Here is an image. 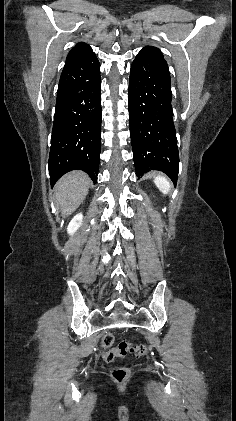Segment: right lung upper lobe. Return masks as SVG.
<instances>
[{"label": "right lung upper lobe", "mask_w": 236, "mask_h": 421, "mask_svg": "<svg viewBox=\"0 0 236 421\" xmlns=\"http://www.w3.org/2000/svg\"><path fill=\"white\" fill-rule=\"evenodd\" d=\"M95 55L91 47L83 42L78 43L71 49L66 58L65 65L79 59Z\"/></svg>", "instance_id": "right-lung-upper-lobe-1"}]
</instances>
